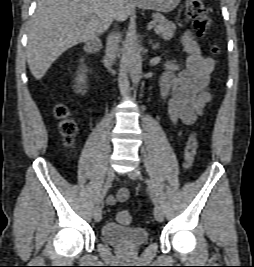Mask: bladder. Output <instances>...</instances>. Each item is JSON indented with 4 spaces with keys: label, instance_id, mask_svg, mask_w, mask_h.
<instances>
[{
    "label": "bladder",
    "instance_id": "1",
    "mask_svg": "<svg viewBox=\"0 0 254 267\" xmlns=\"http://www.w3.org/2000/svg\"><path fill=\"white\" fill-rule=\"evenodd\" d=\"M102 236L108 243L125 250L142 247L148 240V232L140 227H124L110 222L102 228Z\"/></svg>",
    "mask_w": 254,
    "mask_h": 267
}]
</instances>
